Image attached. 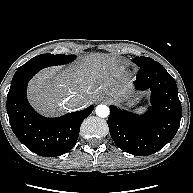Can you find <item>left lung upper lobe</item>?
<instances>
[{"instance_id":"1","label":"left lung upper lobe","mask_w":193,"mask_h":193,"mask_svg":"<svg viewBox=\"0 0 193 193\" xmlns=\"http://www.w3.org/2000/svg\"><path fill=\"white\" fill-rule=\"evenodd\" d=\"M134 63L140 67H146L149 66L151 64L157 63L156 61H154L153 59L149 58V57H136L133 59Z\"/></svg>"}]
</instances>
